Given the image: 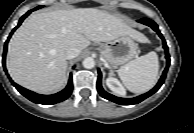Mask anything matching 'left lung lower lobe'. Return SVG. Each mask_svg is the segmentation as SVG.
I'll return each mask as SVG.
<instances>
[{
    "label": "left lung lower lobe",
    "mask_w": 194,
    "mask_h": 133,
    "mask_svg": "<svg viewBox=\"0 0 194 133\" xmlns=\"http://www.w3.org/2000/svg\"><path fill=\"white\" fill-rule=\"evenodd\" d=\"M139 22L142 23V24H145L147 26H150L154 31L157 32V34L162 39L163 47H164L165 53H166L167 65H166V68H165V70H164V72H163L159 82L157 83V85L152 90H150L149 92H147V93H145L143 95H140L138 97L128 98V99H126V98H119V97L113 96V95L107 93L106 91H104V89L102 88V85H101V77H102V75H101L100 70H98L97 90H98L99 94L103 98L108 99L110 101H113V102H115L117 104H121V105H133V104L140 103L141 101H143L144 99L148 98L149 96L154 94L156 91H158V89L164 83V80H165V77H166V73H167L169 65H170V56H169L168 47L166 45L164 37L162 36V34L160 33V31L158 29L157 24L153 20H150L148 18H143Z\"/></svg>",
    "instance_id": "0a47b994"
}]
</instances>
